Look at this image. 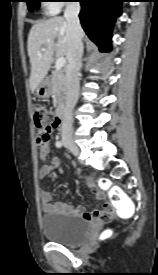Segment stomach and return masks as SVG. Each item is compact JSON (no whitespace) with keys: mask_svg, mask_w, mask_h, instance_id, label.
Wrapping results in <instances>:
<instances>
[{"mask_svg":"<svg viewBox=\"0 0 158 275\" xmlns=\"http://www.w3.org/2000/svg\"><path fill=\"white\" fill-rule=\"evenodd\" d=\"M35 94L37 95L38 98L40 99H45L48 98L51 94L50 91V81L49 79H44L36 88Z\"/></svg>","mask_w":158,"mask_h":275,"instance_id":"stomach-1","label":"stomach"}]
</instances>
